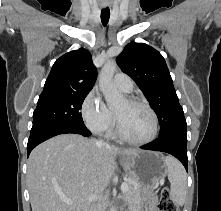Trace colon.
I'll list each match as a JSON object with an SVG mask.
<instances>
[{
	"mask_svg": "<svg viewBox=\"0 0 221 211\" xmlns=\"http://www.w3.org/2000/svg\"><path fill=\"white\" fill-rule=\"evenodd\" d=\"M157 207L158 211H178V207L173 201L170 191L167 188H164L161 191L160 200Z\"/></svg>",
	"mask_w": 221,
	"mask_h": 211,
	"instance_id": "5ec220e1",
	"label": "colon"
}]
</instances>
